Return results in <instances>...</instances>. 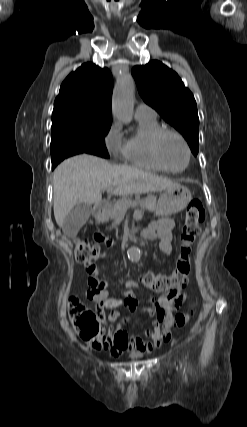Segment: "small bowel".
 Here are the masks:
<instances>
[{
    "label": "small bowel",
    "instance_id": "c3829d8e",
    "mask_svg": "<svg viewBox=\"0 0 247 427\" xmlns=\"http://www.w3.org/2000/svg\"><path fill=\"white\" fill-rule=\"evenodd\" d=\"M175 223L171 219L163 218L152 222L142 233V237L149 240H159V248L165 254L172 251L173 229ZM103 230H98L94 236L98 243H104L108 249H113L116 241L111 239V235L104 236ZM85 269L89 274L87 280L86 297L95 304V311L103 324L111 323L105 336L104 348H109L113 355H118L124 351L149 352L160 347L163 343L171 339L170 328L173 324V311L179 309L186 296L180 289H175L159 298H151L146 301V310L152 316L151 327L145 331L144 339L139 335H129L123 328L128 322L121 318L120 306H124L134 312L140 309L142 302L130 291L127 290L122 299L112 297L108 291V284L98 277L96 264L90 262L85 264ZM127 289L140 286L132 281L125 282ZM106 310L110 313L106 315Z\"/></svg>",
    "mask_w": 247,
    "mask_h": 427
}]
</instances>
